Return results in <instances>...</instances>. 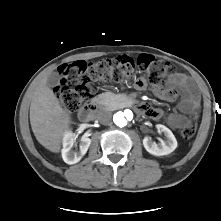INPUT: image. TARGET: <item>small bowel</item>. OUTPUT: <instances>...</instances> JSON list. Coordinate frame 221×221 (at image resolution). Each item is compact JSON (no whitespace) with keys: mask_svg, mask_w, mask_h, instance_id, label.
Instances as JSON below:
<instances>
[{"mask_svg":"<svg viewBox=\"0 0 221 221\" xmlns=\"http://www.w3.org/2000/svg\"><path fill=\"white\" fill-rule=\"evenodd\" d=\"M137 85L142 87L144 83L142 80H138ZM153 92L158 98L165 101H173L179 93L181 94V100L177 105L179 112L172 113L167 117V122L173 129L183 128L189 119L187 115L194 112L198 115L199 98L193 91L190 80L186 75L176 73L170 78L166 87H155ZM142 109L150 117L159 118L162 115L159 109L147 105L142 106Z\"/></svg>","mask_w":221,"mask_h":221,"instance_id":"1","label":"small bowel"}]
</instances>
